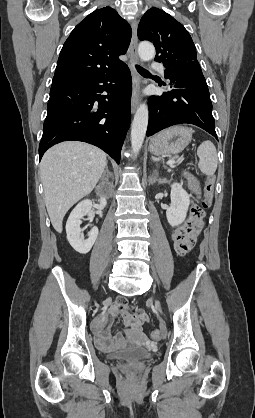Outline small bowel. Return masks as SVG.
Masks as SVG:
<instances>
[{"label": "small bowel", "mask_w": 255, "mask_h": 418, "mask_svg": "<svg viewBox=\"0 0 255 418\" xmlns=\"http://www.w3.org/2000/svg\"><path fill=\"white\" fill-rule=\"evenodd\" d=\"M186 184L189 190L198 197L200 185L195 177L190 174L185 175ZM198 228H175L170 233L169 240L172 249H176L177 256H189L190 249L197 247ZM120 314L127 326V335L135 339H142L141 326L148 321V315L142 310H132L123 299H118L113 307L103 314L95 327V337L97 345L103 350H112L123 346L126 342L125 334L117 333L114 337L110 336L114 318Z\"/></svg>", "instance_id": "small-bowel-1"}]
</instances>
